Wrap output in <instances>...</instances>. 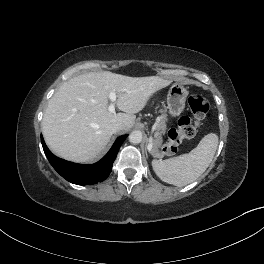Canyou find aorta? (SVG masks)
Returning a JSON list of instances; mask_svg holds the SVG:
<instances>
[{
  "label": "aorta",
  "instance_id": "aorta-1",
  "mask_svg": "<svg viewBox=\"0 0 264 264\" xmlns=\"http://www.w3.org/2000/svg\"><path fill=\"white\" fill-rule=\"evenodd\" d=\"M129 141L132 144H138L142 141V133L141 131H133L131 132V134L129 135Z\"/></svg>",
  "mask_w": 264,
  "mask_h": 264
}]
</instances>
